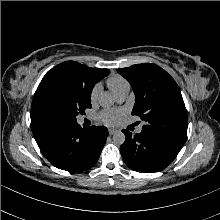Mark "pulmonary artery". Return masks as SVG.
<instances>
[{"mask_svg": "<svg viewBox=\"0 0 220 220\" xmlns=\"http://www.w3.org/2000/svg\"><path fill=\"white\" fill-rule=\"evenodd\" d=\"M128 93H129V87H126L122 89L121 91H119L116 94L118 101L123 102L127 98ZM141 131H142V127H138L136 130L137 133H141Z\"/></svg>", "mask_w": 220, "mask_h": 220, "instance_id": "obj_1", "label": "pulmonary artery"}]
</instances>
